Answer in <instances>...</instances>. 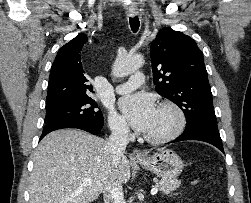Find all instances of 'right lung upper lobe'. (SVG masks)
<instances>
[{
  "label": "right lung upper lobe",
  "mask_w": 251,
  "mask_h": 203,
  "mask_svg": "<svg viewBox=\"0 0 251 203\" xmlns=\"http://www.w3.org/2000/svg\"><path fill=\"white\" fill-rule=\"evenodd\" d=\"M87 40L85 34H79L58 51L50 71L46 107L88 98L94 93L80 56Z\"/></svg>",
  "instance_id": "right-lung-upper-lobe-1"
}]
</instances>
